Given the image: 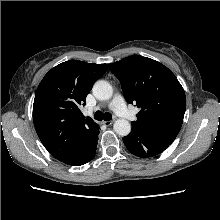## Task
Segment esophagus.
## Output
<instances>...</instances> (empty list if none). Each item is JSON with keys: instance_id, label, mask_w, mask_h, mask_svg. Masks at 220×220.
I'll use <instances>...</instances> for the list:
<instances>
[{"instance_id": "1", "label": "esophagus", "mask_w": 220, "mask_h": 220, "mask_svg": "<svg viewBox=\"0 0 220 220\" xmlns=\"http://www.w3.org/2000/svg\"><path fill=\"white\" fill-rule=\"evenodd\" d=\"M114 123V120H109V121H103V124L106 126H110Z\"/></svg>"}]
</instances>
